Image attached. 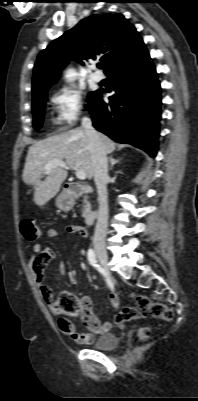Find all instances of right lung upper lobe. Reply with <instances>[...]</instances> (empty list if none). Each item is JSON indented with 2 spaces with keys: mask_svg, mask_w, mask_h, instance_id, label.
<instances>
[{
  "mask_svg": "<svg viewBox=\"0 0 198 401\" xmlns=\"http://www.w3.org/2000/svg\"><path fill=\"white\" fill-rule=\"evenodd\" d=\"M143 43L135 27L121 14L92 15L51 42L38 55L33 72L32 96L47 91L71 59L99 58L107 73Z\"/></svg>",
  "mask_w": 198,
  "mask_h": 401,
  "instance_id": "right-lung-upper-lobe-1",
  "label": "right lung upper lobe"
}]
</instances>
